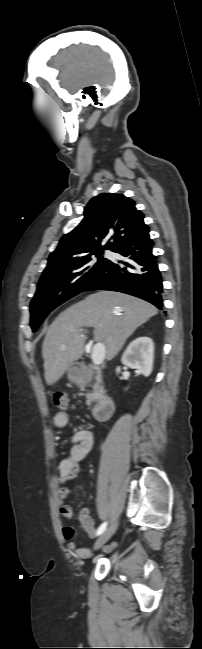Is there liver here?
<instances>
[{
	"label": "liver",
	"mask_w": 202,
	"mask_h": 649,
	"mask_svg": "<svg viewBox=\"0 0 202 649\" xmlns=\"http://www.w3.org/2000/svg\"><path fill=\"white\" fill-rule=\"evenodd\" d=\"M157 313L144 300L112 291H99L71 305L49 326L42 344L46 383L55 384L83 355V327L95 329V340L104 345L105 357L111 360L134 330Z\"/></svg>",
	"instance_id": "liver-1"
}]
</instances>
